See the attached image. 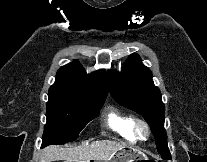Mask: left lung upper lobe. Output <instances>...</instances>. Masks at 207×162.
<instances>
[{
    "label": "left lung upper lobe",
    "mask_w": 207,
    "mask_h": 162,
    "mask_svg": "<svg viewBox=\"0 0 207 162\" xmlns=\"http://www.w3.org/2000/svg\"><path fill=\"white\" fill-rule=\"evenodd\" d=\"M108 76L112 97L122 106L141 114L151 127L158 152L162 157L170 155L164 129L165 106L151 71L138 55L132 54L121 72L109 71Z\"/></svg>",
    "instance_id": "obj_1"
}]
</instances>
